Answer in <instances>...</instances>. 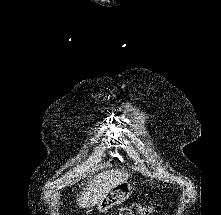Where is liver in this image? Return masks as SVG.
I'll return each mask as SVG.
<instances>
[{
    "instance_id": "6515ba94",
    "label": "liver",
    "mask_w": 221,
    "mask_h": 215,
    "mask_svg": "<svg viewBox=\"0 0 221 215\" xmlns=\"http://www.w3.org/2000/svg\"><path fill=\"white\" fill-rule=\"evenodd\" d=\"M129 174L120 170H106L92 178L77 195V203L82 208L100 204L117 184L126 181Z\"/></svg>"
}]
</instances>
